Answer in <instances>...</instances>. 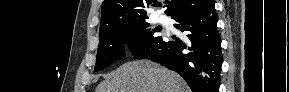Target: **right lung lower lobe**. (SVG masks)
<instances>
[{
    "instance_id": "right-lung-lower-lobe-1",
    "label": "right lung lower lobe",
    "mask_w": 289,
    "mask_h": 92,
    "mask_svg": "<svg viewBox=\"0 0 289 92\" xmlns=\"http://www.w3.org/2000/svg\"><path fill=\"white\" fill-rule=\"evenodd\" d=\"M213 0L174 16L175 27L186 32L182 41L161 39L138 59H150L178 72L193 92H217L222 66L221 39Z\"/></svg>"
}]
</instances>
